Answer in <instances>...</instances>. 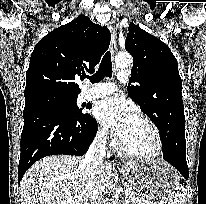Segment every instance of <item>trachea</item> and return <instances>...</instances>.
Wrapping results in <instances>:
<instances>
[{"instance_id": "1", "label": "trachea", "mask_w": 206, "mask_h": 204, "mask_svg": "<svg viewBox=\"0 0 206 204\" xmlns=\"http://www.w3.org/2000/svg\"><path fill=\"white\" fill-rule=\"evenodd\" d=\"M112 76V62L110 51L106 52L102 58L98 71L91 77H87L92 84L100 82L104 77Z\"/></svg>"}]
</instances>
